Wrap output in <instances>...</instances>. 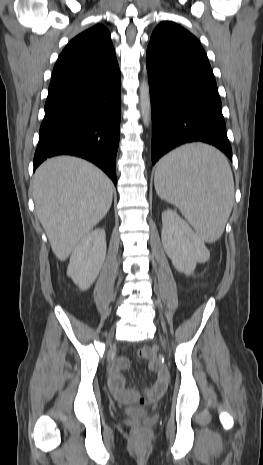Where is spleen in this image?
<instances>
[{"label":"spleen","instance_id":"3e777b00","mask_svg":"<svg viewBox=\"0 0 263 465\" xmlns=\"http://www.w3.org/2000/svg\"><path fill=\"white\" fill-rule=\"evenodd\" d=\"M154 185L202 240L212 243L221 237L234 201L233 175L222 153L203 144L177 148L158 162Z\"/></svg>","mask_w":263,"mask_h":465}]
</instances>
